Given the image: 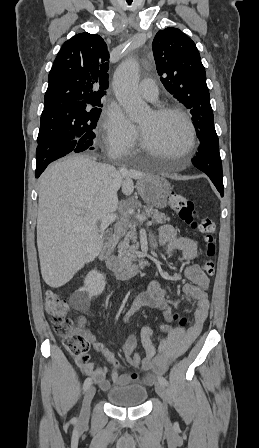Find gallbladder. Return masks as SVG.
Wrapping results in <instances>:
<instances>
[{"label": "gallbladder", "mask_w": 259, "mask_h": 448, "mask_svg": "<svg viewBox=\"0 0 259 448\" xmlns=\"http://www.w3.org/2000/svg\"><path fill=\"white\" fill-rule=\"evenodd\" d=\"M110 236H111V232H106V234H104V236H103V240H109Z\"/></svg>", "instance_id": "1"}]
</instances>
